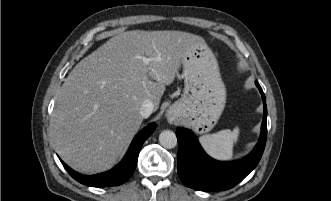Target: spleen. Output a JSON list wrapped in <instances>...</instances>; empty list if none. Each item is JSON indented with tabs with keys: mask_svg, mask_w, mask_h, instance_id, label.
<instances>
[{
	"mask_svg": "<svg viewBox=\"0 0 331 201\" xmlns=\"http://www.w3.org/2000/svg\"><path fill=\"white\" fill-rule=\"evenodd\" d=\"M239 128L221 130L214 134L203 135L199 141L211 157L218 160H230L233 157V147L238 140Z\"/></svg>",
	"mask_w": 331,
	"mask_h": 201,
	"instance_id": "spleen-1",
	"label": "spleen"
}]
</instances>
